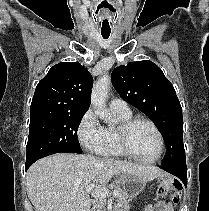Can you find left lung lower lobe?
Returning <instances> with one entry per match:
<instances>
[{
	"label": "left lung lower lobe",
	"mask_w": 209,
	"mask_h": 211,
	"mask_svg": "<svg viewBox=\"0 0 209 211\" xmlns=\"http://www.w3.org/2000/svg\"><path fill=\"white\" fill-rule=\"evenodd\" d=\"M159 167L161 169L165 170L166 172L171 173V174L175 175L176 177H178L183 182L185 187L187 186L186 161L180 162L177 164H173V165H168V166L161 165Z\"/></svg>",
	"instance_id": "0a47b994"
}]
</instances>
